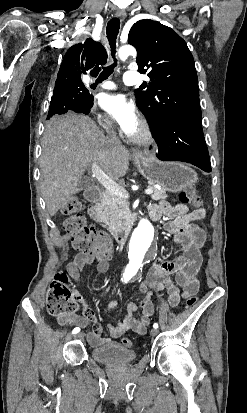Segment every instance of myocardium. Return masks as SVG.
<instances>
[{"label":"myocardium","mask_w":247,"mask_h":413,"mask_svg":"<svg viewBox=\"0 0 247 413\" xmlns=\"http://www.w3.org/2000/svg\"><path fill=\"white\" fill-rule=\"evenodd\" d=\"M143 133L140 136L132 137L130 140L132 143L139 146H146L151 144L155 139V132L152 125L148 121L142 123ZM97 130V129H96Z\"/></svg>","instance_id":"myocardium-1"}]
</instances>
